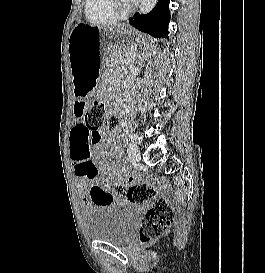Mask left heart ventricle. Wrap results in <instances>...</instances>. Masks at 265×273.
I'll use <instances>...</instances> for the list:
<instances>
[{
	"label": "left heart ventricle",
	"mask_w": 265,
	"mask_h": 273,
	"mask_svg": "<svg viewBox=\"0 0 265 273\" xmlns=\"http://www.w3.org/2000/svg\"><path fill=\"white\" fill-rule=\"evenodd\" d=\"M119 1L121 6H125L130 3L128 0H119Z\"/></svg>",
	"instance_id": "1"
}]
</instances>
